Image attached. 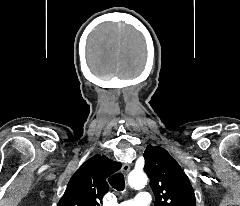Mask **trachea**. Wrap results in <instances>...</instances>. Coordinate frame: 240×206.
I'll use <instances>...</instances> for the list:
<instances>
[{"label":"trachea","mask_w":240,"mask_h":206,"mask_svg":"<svg viewBox=\"0 0 240 206\" xmlns=\"http://www.w3.org/2000/svg\"><path fill=\"white\" fill-rule=\"evenodd\" d=\"M108 181H109L110 185L118 191H123L125 188L124 175L121 173H117V174L111 176L108 179Z\"/></svg>","instance_id":"1"}]
</instances>
